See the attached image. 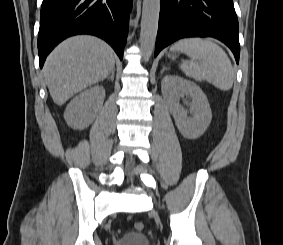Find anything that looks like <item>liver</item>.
Returning <instances> with one entry per match:
<instances>
[{
  "label": "liver",
  "mask_w": 283,
  "mask_h": 245,
  "mask_svg": "<svg viewBox=\"0 0 283 245\" xmlns=\"http://www.w3.org/2000/svg\"><path fill=\"white\" fill-rule=\"evenodd\" d=\"M112 48L88 35L71 37L48 56L43 75L55 104L61 106L85 88L106 79L113 71Z\"/></svg>",
  "instance_id": "1"
}]
</instances>
